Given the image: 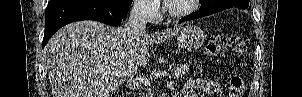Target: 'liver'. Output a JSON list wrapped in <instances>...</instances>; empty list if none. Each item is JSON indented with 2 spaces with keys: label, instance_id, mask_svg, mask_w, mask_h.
I'll return each instance as SVG.
<instances>
[{
  "label": "liver",
  "instance_id": "obj_1",
  "mask_svg": "<svg viewBox=\"0 0 302 97\" xmlns=\"http://www.w3.org/2000/svg\"><path fill=\"white\" fill-rule=\"evenodd\" d=\"M182 26L134 35L125 27L79 21L57 31L44 49L53 97H112L139 66L149 62L148 46L172 39ZM110 67L111 72L104 73Z\"/></svg>",
  "mask_w": 302,
  "mask_h": 97
}]
</instances>
